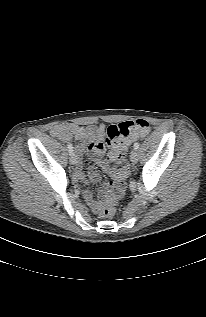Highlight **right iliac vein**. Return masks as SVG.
<instances>
[{
  "label": "right iliac vein",
  "instance_id": "obj_1",
  "mask_svg": "<svg viewBox=\"0 0 206 317\" xmlns=\"http://www.w3.org/2000/svg\"><path fill=\"white\" fill-rule=\"evenodd\" d=\"M76 162H77V158H76L75 154L74 153L70 154V163L72 165H75Z\"/></svg>",
  "mask_w": 206,
  "mask_h": 317
}]
</instances>
